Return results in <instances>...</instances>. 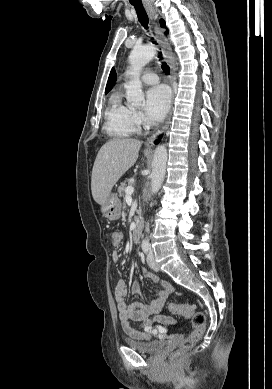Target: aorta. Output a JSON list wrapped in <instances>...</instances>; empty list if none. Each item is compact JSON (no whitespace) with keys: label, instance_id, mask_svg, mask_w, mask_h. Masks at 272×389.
<instances>
[{"label":"aorta","instance_id":"obj_1","mask_svg":"<svg viewBox=\"0 0 272 389\" xmlns=\"http://www.w3.org/2000/svg\"><path fill=\"white\" fill-rule=\"evenodd\" d=\"M156 54V48L152 45L136 46L129 55L131 79L126 86V99L133 106H140L144 103V93L140 81V70ZM167 163V149L164 145H159L155 149L152 162L151 188L158 191L165 177Z\"/></svg>","mask_w":272,"mask_h":389}]
</instances>
